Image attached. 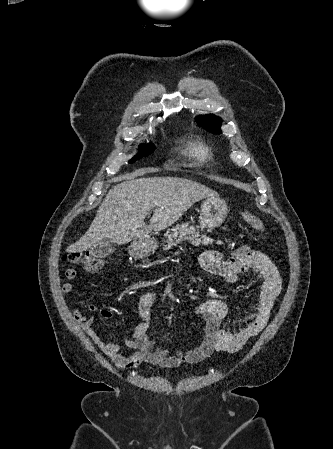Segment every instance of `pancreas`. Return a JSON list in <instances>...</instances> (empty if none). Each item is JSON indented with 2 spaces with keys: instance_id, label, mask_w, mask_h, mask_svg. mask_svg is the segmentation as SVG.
<instances>
[{
  "instance_id": "obj_1",
  "label": "pancreas",
  "mask_w": 333,
  "mask_h": 449,
  "mask_svg": "<svg viewBox=\"0 0 333 449\" xmlns=\"http://www.w3.org/2000/svg\"><path fill=\"white\" fill-rule=\"evenodd\" d=\"M165 236L167 237V245L163 247L164 250H169L172 244L180 243L182 241L191 242L194 245H208L213 243V240L205 235H200V233L193 226H189L188 223L176 225L172 232H167ZM172 238L175 239V242H173ZM217 244H222V242L218 241Z\"/></svg>"
}]
</instances>
